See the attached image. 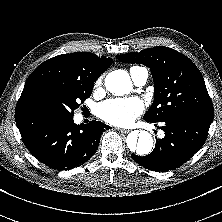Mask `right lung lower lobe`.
<instances>
[{
	"instance_id": "1",
	"label": "right lung lower lobe",
	"mask_w": 222,
	"mask_h": 222,
	"mask_svg": "<svg viewBox=\"0 0 222 222\" xmlns=\"http://www.w3.org/2000/svg\"><path fill=\"white\" fill-rule=\"evenodd\" d=\"M24 145L43 164L70 170L88 161L96 152L101 134L110 127L99 121L77 125L73 117L43 110L15 114Z\"/></svg>"
}]
</instances>
